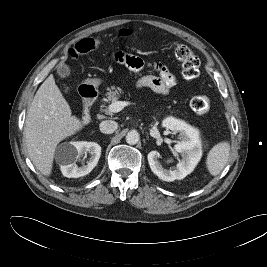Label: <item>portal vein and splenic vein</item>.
Here are the masks:
<instances>
[{"instance_id": "portal-vein-and-splenic-vein-1", "label": "portal vein and splenic vein", "mask_w": 267, "mask_h": 267, "mask_svg": "<svg viewBox=\"0 0 267 267\" xmlns=\"http://www.w3.org/2000/svg\"><path fill=\"white\" fill-rule=\"evenodd\" d=\"M130 104L131 103L128 101H115L111 103L108 108L111 113H117Z\"/></svg>"}]
</instances>
